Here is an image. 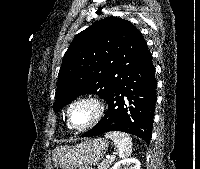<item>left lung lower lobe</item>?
I'll return each mask as SVG.
<instances>
[{
	"label": "left lung lower lobe",
	"instance_id": "0a47b994",
	"mask_svg": "<svg viewBox=\"0 0 200 169\" xmlns=\"http://www.w3.org/2000/svg\"><path fill=\"white\" fill-rule=\"evenodd\" d=\"M156 88L152 55L148 51L105 99L109 107L102 120L81 137H92L115 130L136 135L149 143ZM124 96L129 104L135 105V108L129 106L130 115Z\"/></svg>",
	"mask_w": 200,
	"mask_h": 169
}]
</instances>
